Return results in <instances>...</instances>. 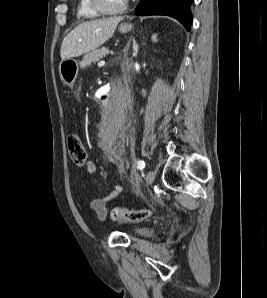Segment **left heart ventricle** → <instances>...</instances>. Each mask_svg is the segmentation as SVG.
I'll return each instance as SVG.
<instances>
[{
	"label": "left heart ventricle",
	"instance_id": "left-heart-ventricle-1",
	"mask_svg": "<svg viewBox=\"0 0 267 298\" xmlns=\"http://www.w3.org/2000/svg\"><path fill=\"white\" fill-rule=\"evenodd\" d=\"M104 2L109 9H116L122 6L125 0H104Z\"/></svg>",
	"mask_w": 267,
	"mask_h": 298
}]
</instances>
